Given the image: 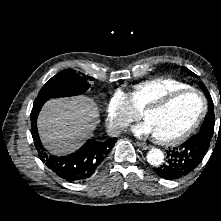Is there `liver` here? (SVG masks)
<instances>
[{
	"label": "liver",
	"mask_w": 221,
	"mask_h": 221,
	"mask_svg": "<svg viewBox=\"0 0 221 221\" xmlns=\"http://www.w3.org/2000/svg\"><path fill=\"white\" fill-rule=\"evenodd\" d=\"M99 123V110L86 96L51 99L38 117V131L43 144L54 155L79 148L92 136Z\"/></svg>",
	"instance_id": "6515ba94"
}]
</instances>
